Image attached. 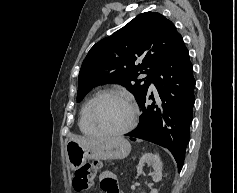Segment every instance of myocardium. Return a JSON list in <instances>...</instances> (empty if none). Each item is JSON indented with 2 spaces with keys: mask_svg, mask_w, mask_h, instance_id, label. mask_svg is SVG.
Segmentation results:
<instances>
[{
  "mask_svg": "<svg viewBox=\"0 0 237 193\" xmlns=\"http://www.w3.org/2000/svg\"><path fill=\"white\" fill-rule=\"evenodd\" d=\"M107 97H115L118 99L123 100L124 102L127 103V105L130 107L131 109V119L129 121V123L127 124V126H125L124 128L117 130V131H107V130H103L101 129L95 121L94 118V112L95 109L98 105V103ZM139 117V108L136 104V102L129 96L118 92V91H104L99 93L97 96H95V98L92 100L89 109H88V121L91 125V127L100 135V136H105V137H116V136H121L124 135L126 133H128L130 130L133 129V127L135 126L137 120Z\"/></svg>",
  "mask_w": 237,
  "mask_h": 193,
  "instance_id": "1",
  "label": "myocardium"
}]
</instances>
